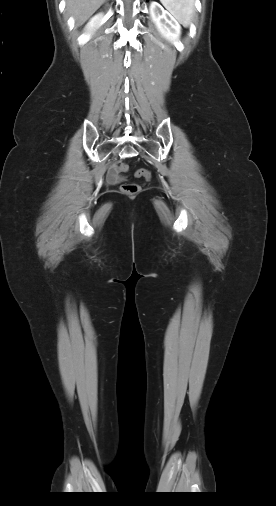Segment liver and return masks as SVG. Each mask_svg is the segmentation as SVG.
Instances as JSON below:
<instances>
[{
  "label": "liver",
  "mask_w": 276,
  "mask_h": 506,
  "mask_svg": "<svg viewBox=\"0 0 276 506\" xmlns=\"http://www.w3.org/2000/svg\"><path fill=\"white\" fill-rule=\"evenodd\" d=\"M106 0H67V12L81 26Z\"/></svg>",
  "instance_id": "obj_1"
}]
</instances>
